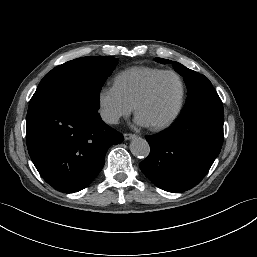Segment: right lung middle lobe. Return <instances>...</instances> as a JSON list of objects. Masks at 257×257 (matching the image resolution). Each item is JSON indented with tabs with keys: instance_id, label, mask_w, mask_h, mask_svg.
Returning <instances> with one entry per match:
<instances>
[{
	"instance_id": "obj_1",
	"label": "right lung middle lobe",
	"mask_w": 257,
	"mask_h": 257,
	"mask_svg": "<svg viewBox=\"0 0 257 257\" xmlns=\"http://www.w3.org/2000/svg\"><path fill=\"white\" fill-rule=\"evenodd\" d=\"M112 56H88L68 61L47 73L30 103L58 96H74L99 109V92L117 65Z\"/></svg>"
}]
</instances>
